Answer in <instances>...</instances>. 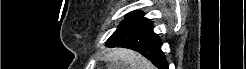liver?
<instances>
[{"mask_svg":"<svg viewBox=\"0 0 246 69\" xmlns=\"http://www.w3.org/2000/svg\"><path fill=\"white\" fill-rule=\"evenodd\" d=\"M115 69H155V66L141 54L124 48H116L107 54Z\"/></svg>","mask_w":246,"mask_h":69,"instance_id":"obj_1","label":"liver"}]
</instances>
